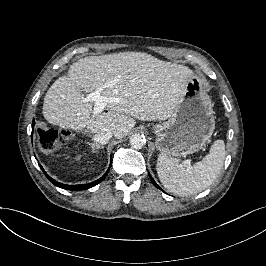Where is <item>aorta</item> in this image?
<instances>
[{"label":"aorta","instance_id":"762f6f07","mask_svg":"<svg viewBox=\"0 0 266 266\" xmlns=\"http://www.w3.org/2000/svg\"><path fill=\"white\" fill-rule=\"evenodd\" d=\"M129 142L133 148L141 149L146 144V138L143 134L135 133L131 135Z\"/></svg>","mask_w":266,"mask_h":266}]
</instances>
